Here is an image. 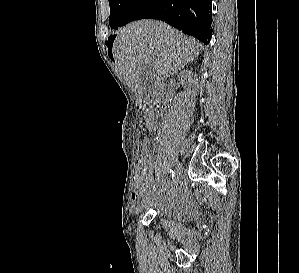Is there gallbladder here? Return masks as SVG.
I'll list each match as a JSON object with an SVG mask.
<instances>
[{"label":"gallbladder","mask_w":299,"mask_h":273,"mask_svg":"<svg viewBox=\"0 0 299 273\" xmlns=\"http://www.w3.org/2000/svg\"><path fill=\"white\" fill-rule=\"evenodd\" d=\"M141 87L146 98H153L154 85L156 82V72L149 64H145L141 69Z\"/></svg>","instance_id":"1"}]
</instances>
